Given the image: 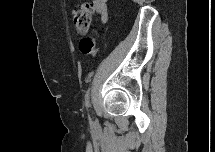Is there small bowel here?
I'll list each match as a JSON object with an SVG mask.
<instances>
[{"instance_id": "c3829d8e", "label": "small bowel", "mask_w": 215, "mask_h": 152, "mask_svg": "<svg viewBox=\"0 0 215 152\" xmlns=\"http://www.w3.org/2000/svg\"><path fill=\"white\" fill-rule=\"evenodd\" d=\"M94 7L98 15L100 16V19L103 23L107 21L108 18V12H107V6L105 1L102 0H95L93 2Z\"/></svg>"}]
</instances>
